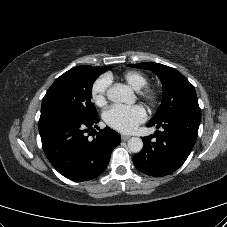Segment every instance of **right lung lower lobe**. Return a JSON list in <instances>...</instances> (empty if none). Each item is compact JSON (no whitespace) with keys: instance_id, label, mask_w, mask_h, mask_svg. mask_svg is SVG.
I'll list each match as a JSON object with an SVG mask.
<instances>
[{"instance_id":"obj_1","label":"right lung lower lobe","mask_w":227,"mask_h":227,"mask_svg":"<svg viewBox=\"0 0 227 227\" xmlns=\"http://www.w3.org/2000/svg\"><path fill=\"white\" fill-rule=\"evenodd\" d=\"M98 122L97 117L81 119L63 112L40 116L38 127L44 153L66 178L88 181L107 167L110 154L121 139L119 133L109 127L94 131L93 139H88L87 133L97 127Z\"/></svg>"}]
</instances>
